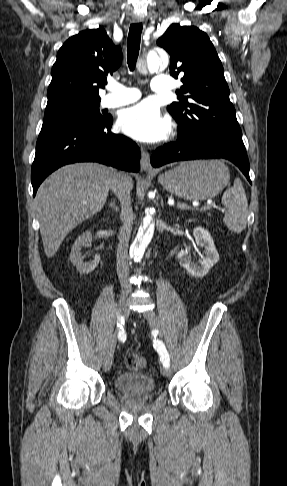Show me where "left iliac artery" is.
<instances>
[{
  "label": "left iliac artery",
  "instance_id": "44dca946",
  "mask_svg": "<svg viewBox=\"0 0 287 486\" xmlns=\"http://www.w3.org/2000/svg\"><path fill=\"white\" fill-rule=\"evenodd\" d=\"M154 348L160 355V360L165 367H169L170 365V357L165 347V344L160 340H154Z\"/></svg>",
  "mask_w": 287,
  "mask_h": 486
}]
</instances>
